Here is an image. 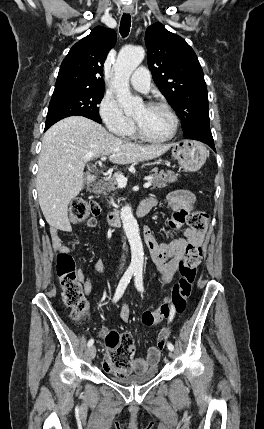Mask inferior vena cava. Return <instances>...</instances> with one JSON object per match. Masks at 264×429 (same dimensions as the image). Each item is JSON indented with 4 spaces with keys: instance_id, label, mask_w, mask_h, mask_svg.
Returning <instances> with one entry per match:
<instances>
[{
    "instance_id": "602c4592",
    "label": "inferior vena cava",
    "mask_w": 264,
    "mask_h": 429,
    "mask_svg": "<svg viewBox=\"0 0 264 429\" xmlns=\"http://www.w3.org/2000/svg\"><path fill=\"white\" fill-rule=\"evenodd\" d=\"M119 247H120L121 249H122V248H123V249L125 248V249H127L128 251L131 249V248H130L129 246H127L126 244H125V245H124V244H123V245L121 244ZM122 260H123V261H125L124 257H123V259H122ZM123 265H124V263H123Z\"/></svg>"
}]
</instances>
